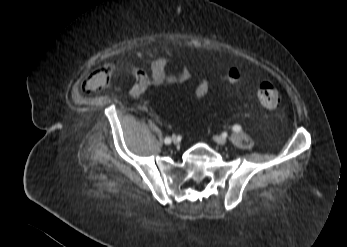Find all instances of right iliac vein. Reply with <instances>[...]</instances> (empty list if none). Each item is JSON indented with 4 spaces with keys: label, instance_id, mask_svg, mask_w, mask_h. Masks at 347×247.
Masks as SVG:
<instances>
[{
    "label": "right iliac vein",
    "instance_id": "obj_1",
    "mask_svg": "<svg viewBox=\"0 0 347 247\" xmlns=\"http://www.w3.org/2000/svg\"><path fill=\"white\" fill-rule=\"evenodd\" d=\"M172 141H173V143H175V144L178 142V140H177V138H176L175 136L172 137Z\"/></svg>",
    "mask_w": 347,
    "mask_h": 247
}]
</instances>
